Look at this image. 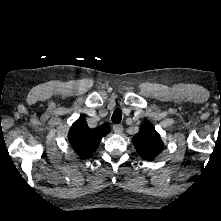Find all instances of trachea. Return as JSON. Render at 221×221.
<instances>
[{
  "label": "trachea",
  "mask_w": 221,
  "mask_h": 221,
  "mask_svg": "<svg viewBox=\"0 0 221 221\" xmlns=\"http://www.w3.org/2000/svg\"><path fill=\"white\" fill-rule=\"evenodd\" d=\"M121 119H122V111L121 109H116L114 112H113V115L111 117V120L113 123H120L121 122Z\"/></svg>",
  "instance_id": "obj_1"
}]
</instances>
